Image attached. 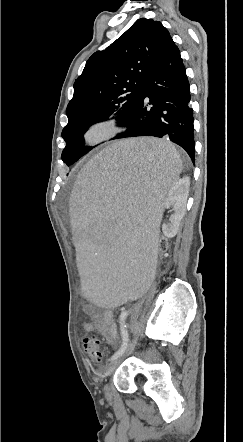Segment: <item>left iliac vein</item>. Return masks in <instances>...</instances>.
Wrapping results in <instances>:
<instances>
[{
  "instance_id": "left-iliac-vein-1",
  "label": "left iliac vein",
  "mask_w": 243,
  "mask_h": 442,
  "mask_svg": "<svg viewBox=\"0 0 243 442\" xmlns=\"http://www.w3.org/2000/svg\"><path fill=\"white\" fill-rule=\"evenodd\" d=\"M133 346H134V341L130 344V346L128 347L126 353H129L133 349ZM121 359H122V355L117 357V358H115L114 360H112L109 363V365L107 367V370H106V375L107 376L111 375L115 371V369L117 368V366L121 362ZM104 393H105V396H106L107 399L111 398V389H110V386L108 384H106L105 387H104Z\"/></svg>"
}]
</instances>
